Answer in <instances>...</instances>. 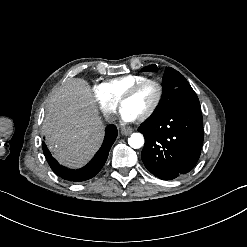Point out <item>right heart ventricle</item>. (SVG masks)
Here are the masks:
<instances>
[{"label": "right heart ventricle", "instance_id": "obj_1", "mask_svg": "<svg viewBox=\"0 0 247 247\" xmlns=\"http://www.w3.org/2000/svg\"><path fill=\"white\" fill-rule=\"evenodd\" d=\"M146 79L144 76L128 75L108 81L104 87L107 89V94L114 101L119 99L129 92L136 84Z\"/></svg>", "mask_w": 247, "mask_h": 247}]
</instances>
